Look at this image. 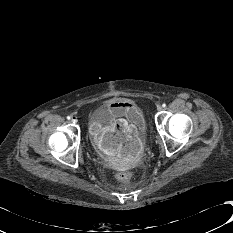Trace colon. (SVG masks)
<instances>
[{
	"label": "colon",
	"mask_w": 233,
	"mask_h": 233,
	"mask_svg": "<svg viewBox=\"0 0 233 233\" xmlns=\"http://www.w3.org/2000/svg\"><path fill=\"white\" fill-rule=\"evenodd\" d=\"M115 127L117 130H123L124 129V123L121 121L116 122ZM116 178L118 181L127 183L132 179V175L130 172L126 170H121L116 174Z\"/></svg>",
	"instance_id": "colon-1"
}]
</instances>
